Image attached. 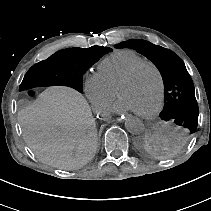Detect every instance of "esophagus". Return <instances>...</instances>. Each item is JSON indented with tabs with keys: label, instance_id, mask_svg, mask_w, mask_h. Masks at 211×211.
Returning <instances> with one entry per match:
<instances>
[{
	"label": "esophagus",
	"instance_id": "obj_1",
	"mask_svg": "<svg viewBox=\"0 0 211 211\" xmlns=\"http://www.w3.org/2000/svg\"><path fill=\"white\" fill-rule=\"evenodd\" d=\"M130 113H128V112H126V113H124V112H122V111H120V112H118V114L116 115V116H114V121H118V122H121L122 120H124V119H128V118H130Z\"/></svg>",
	"mask_w": 211,
	"mask_h": 211
}]
</instances>
